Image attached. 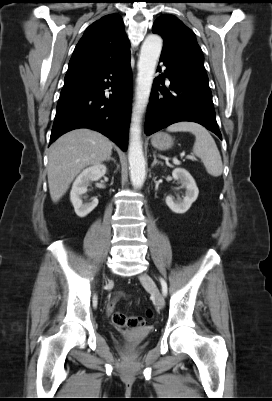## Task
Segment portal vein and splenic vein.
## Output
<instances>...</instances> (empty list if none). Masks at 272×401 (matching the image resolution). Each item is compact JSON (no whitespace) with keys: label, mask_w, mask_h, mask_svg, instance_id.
<instances>
[{"label":"portal vein and splenic vein","mask_w":272,"mask_h":401,"mask_svg":"<svg viewBox=\"0 0 272 401\" xmlns=\"http://www.w3.org/2000/svg\"><path fill=\"white\" fill-rule=\"evenodd\" d=\"M187 159L196 160V158L194 156H191V155H188ZM174 163L178 164L179 161L177 159H174Z\"/></svg>","instance_id":"1"}]
</instances>
